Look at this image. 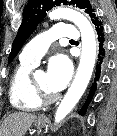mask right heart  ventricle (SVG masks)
Returning a JSON list of instances; mask_svg holds the SVG:
<instances>
[{"label": "right heart ventricle", "mask_w": 117, "mask_h": 136, "mask_svg": "<svg viewBox=\"0 0 117 136\" xmlns=\"http://www.w3.org/2000/svg\"><path fill=\"white\" fill-rule=\"evenodd\" d=\"M35 65L21 60L13 73L9 88V98L12 106L17 110L25 112L36 111L41 105L35 97L32 86L31 71Z\"/></svg>", "instance_id": "e07e8e85"}]
</instances>
